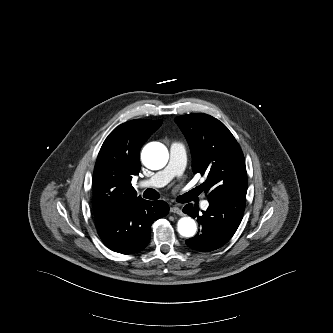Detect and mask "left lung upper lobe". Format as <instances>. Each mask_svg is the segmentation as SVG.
Returning a JSON list of instances; mask_svg holds the SVG:
<instances>
[{
  "label": "left lung upper lobe",
  "mask_w": 333,
  "mask_h": 333,
  "mask_svg": "<svg viewBox=\"0 0 333 333\" xmlns=\"http://www.w3.org/2000/svg\"><path fill=\"white\" fill-rule=\"evenodd\" d=\"M185 135L192 154L194 173L206 175L197 187L207 198L246 195L247 172L239 144L228 128L207 114H190L175 118Z\"/></svg>",
  "instance_id": "obj_1"
}]
</instances>
